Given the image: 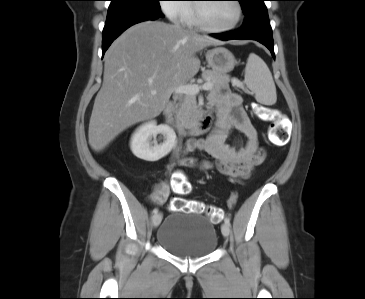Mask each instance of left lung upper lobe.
Here are the masks:
<instances>
[{
    "label": "left lung upper lobe",
    "instance_id": "5c2ea615",
    "mask_svg": "<svg viewBox=\"0 0 365 299\" xmlns=\"http://www.w3.org/2000/svg\"><path fill=\"white\" fill-rule=\"evenodd\" d=\"M241 4L243 13L247 15L249 12L259 8L263 7L265 0H238Z\"/></svg>",
    "mask_w": 365,
    "mask_h": 299
}]
</instances>
